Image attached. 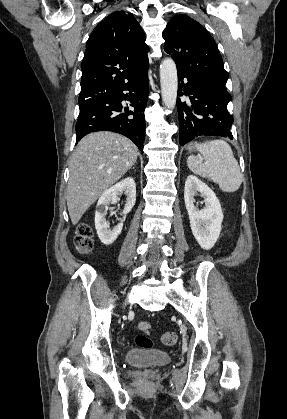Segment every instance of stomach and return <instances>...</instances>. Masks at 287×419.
<instances>
[{
	"label": "stomach",
	"instance_id": "1",
	"mask_svg": "<svg viewBox=\"0 0 287 419\" xmlns=\"http://www.w3.org/2000/svg\"><path fill=\"white\" fill-rule=\"evenodd\" d=\"M197 145H198V144L192 143V144H190V145L187 147V149L189 150V152H192V151L198 150Z\"/></svg>",
	"mask_w": 287,
	"mask_h": 419
}]
</instances>
